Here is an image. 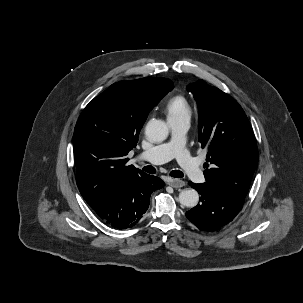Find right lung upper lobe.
<instances>
[{"label": "right lung upper lobe", "instance_id": "cb5924a9", "mask_svg": "<svg viewBox=\"0 0 303 303\" xmlns=\"http://www.w3.org/2000/svg\"><path fill=\"white\" fill-rule=\"evenodd\" d=\"M174 88L166 78L119 81L95 97L81 113L73 148L77 186L92 206L112 186L142 172L127 166L149 111Z\"/></svg>", "mask_w": 303, "mask_h": 303}]
</instances>
